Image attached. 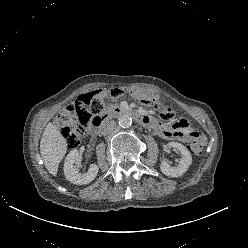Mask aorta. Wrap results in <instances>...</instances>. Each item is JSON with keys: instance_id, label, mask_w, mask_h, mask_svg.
Wrapping results in <instances>:
<instances>
[{"instance_id": "762f6f07", "label": "aorta", "mask_w": 248, "mask_h": 248, "mask_svg": "<svg viewBox=\"0 0 248 248\" xmlns=\"http://www.w3.org/2000/svg\"><path fill=\"white\" fill-rule=\"evenodd\" d=\"M119 125L123 128H128L132 124V118L129 115H121L118 118Z\"/></svg>"}]
</instances>
